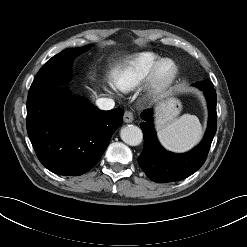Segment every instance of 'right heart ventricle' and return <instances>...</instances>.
<instances>
[{
  "label": "right heart ventricle",
  "mask_w": 247,
  "mask_h": 247,
  "mask_svg": "<svg viewBox=\"0 0 247 247\" xmlns=\"http://www.w3.org/2000/svg\"><path fill=\"white\" fill-rule=\"evenodd\" d=\"M160 57L152 52H140L129 57L113 73V84L122 91L138 86L150 73Z\"/></svg>",
  "instance_id": "e07e8e85"
}]
</instances>
